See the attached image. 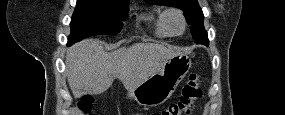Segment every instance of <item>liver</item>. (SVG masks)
I'll use <instances>...</instances> for the list:
<instances>
[{"mask_svg":"<svg viewBox=\"0 0 285 115\" xmlns=\"http://www.w3.org/2000/svg\"><path fill=\"white\" fill-rule=\"evenodd\" d=\"M178 54L182 52L177 48L153 43H136L107 53L100 41L84 40L67 51L68 83L75 98L84 94H101L108 90L115 78H119L131 92Z\"/></svg>","mask_w":285,"mask_h":115,"instance_id":"liver-1","label":"liver"}]
</instances>
